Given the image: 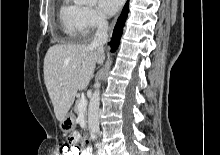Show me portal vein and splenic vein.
I'll return each instance as SVG.
<instances>
[{
	"label": "portal vein and splenic vein",
	"mask_w": 220,
	"mask_h": 155,
	"mask_svg": "<svg viewBox=\"0 0 220 155\" xmlns=\"http://www.w3.org/2000/svg\"><path fill=\"white\" fill-rule=\"evenodd\" d=\"M86 106H87V100L86 98H81L80 101H79V104H78V109L79 111H83L86 109Z\"/></svg>",
	"instance_id": "18ae733b"
}]
</instances>
